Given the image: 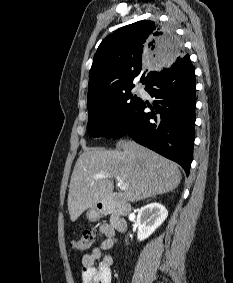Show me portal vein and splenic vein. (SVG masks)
<instances>
[{
  "instance_id": "18ae733b",
  "label": "portal vein and splenic vein",
  "mask_w": 233,
  "mask_h": 283,
  "mask_svg": "<svg viewBox=\"0 0 233 283\" xmlns=\"http://www.w3.org/2000/svg\"><path fill=\"white\" fill-rule=\"evenodd\" d=\"M107 176H109V173L101 172V173L95 174L93 176V178L94 179H101V178H106ZM117 180H118L119 188L121 190H126L127 189V184H125L119 177H117Z\"/></svg>"
}]
</instances>
